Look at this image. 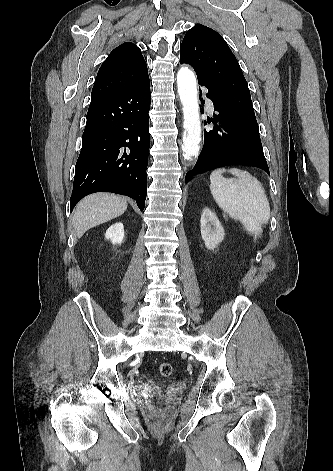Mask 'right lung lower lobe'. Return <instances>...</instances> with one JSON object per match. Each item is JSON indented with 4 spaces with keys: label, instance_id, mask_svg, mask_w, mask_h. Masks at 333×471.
Returning a JSON list of instances; mask_svg holds the SVG:
<instances>
[{
    "label": "right lung lower lobe",
    "instance_id": "1",
    "mask_svg": "<svg viewBox=\"0 0 333 471\" xmlns=\"http://www.w3.org/2000/svg\"><path fill=\"white\" fill-rule=\"evenodd\" d=\"M150 82L146 75L127 90L90 103L76 163L71 210L86 195L129 196L142 211L147 194Z\"/></svg>",
    "mask_w": 333,
    "mask_h": 471
}]
</instances>
